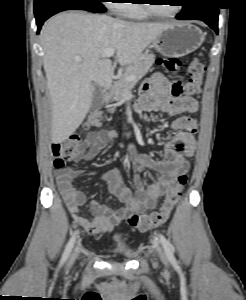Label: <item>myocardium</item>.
I'll list each match as a JSON object with an SVG mask.
<instances>
[{
  "label": "myocardium",
  "mask_w": 246,
  "mask_h": 300,
  "mask_svg": "<svg viewBox=\"0 0 246 300\" xmlns=\"http://www.w3.org/2000/svg\"><path fill=\"white\" fill-rule=\"evenodd\" d=\"M147 3L143 4V8L152 16H155V17H158V18H173L175 16H177L181 9H182V6L181 5H178L177 8L170 14H164V13H161L159 12L155 5L153 3H151V1H146Z\"/></svg>",
  "instance_id": "obj_1"
}]
</instances>
